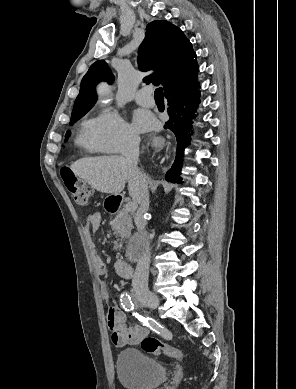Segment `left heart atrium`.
<instances>
[{"label":"left heart atrium","mask_w":296,"mask_h":389,"mask_svg":"<svg viewBox=\"0 0 296 389\" xmlns=\"http://www.w3.org/2000/svg\"><path fill=\"white\" fill-rule=\"evenodd\" d=\"M133 123L138 131L144 132L153 126L154 120L148 111L137 109L133 112Z\"/></svg>","instance_id":"39dd6f15"}]
</instances>
